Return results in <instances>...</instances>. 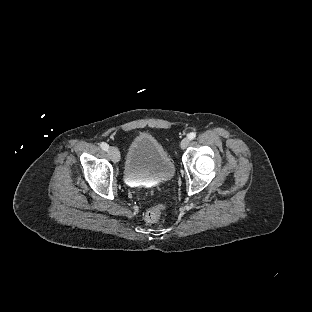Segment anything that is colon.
<instances>
[{
	"label": "colon",
	"mask_w": 312,
	"mask_h": 312,
	"mask_svg": "<svg viewBox=\"0 0 312 312\" xmlns=\"http://www.w3.org/2000/svg\"><path fill=\"white\" fill-rule=\"evenodd\" d=\"M145 220L149 223H155L158 221V212L155 208H149L145 213Z\"/></svg>",
	"instance_id": "colon-1"
}]
</instances>
